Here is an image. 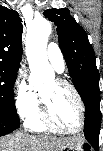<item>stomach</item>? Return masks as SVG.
Segmentation results:
<instances>
[{
    "instance_id": "1",
    "label": "stomach",
    "mask_w": 103,
    "mask_h": 151,
    "mask_svg": "<svg viewBox=\"0 0 103 151\" xmlns=\"http://www.w3.org/2000/svg\"><path fill=\"white\" fill-rule=\"evenodd\" d=\"M85 144L81 139L69 140L59 145L55 151H84Z\"/></svg>"
}]
</instances>
